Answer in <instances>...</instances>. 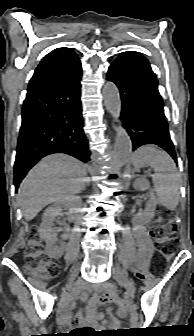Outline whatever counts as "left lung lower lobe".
I'll list each match as a JSON object with an SVG mask.
<instances>
[{
    "mask_svg": "<svg viewBox=\"0 0 194 336\" xmlns=\"http://www.w3.org/2000/svg\"><path fill=\"white\" fill-rule=\"evenodd\" d=\"M107 79L120 90L121 119L132 139L133 151L141 145L155 144L177 162L158 81L148 60L138 52H124L110 65Z\"/></svg>",
    "mask_w": 194,
    "mask_h": 336,
    "instance_id": "1",
    "label": "left lung lower lobe"
}]
</instances>
